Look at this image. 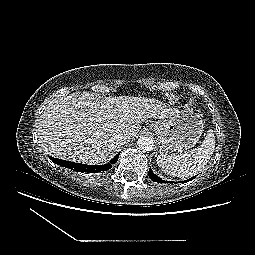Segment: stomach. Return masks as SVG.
<instances>
[{
	"label": "stomach",
	"instance_id": "stomach-1",
	"mask_svg": "<svg viewBox=\"0 0 255 255\" xmlns=\"http://www.w3.org/2000/svg\"><path fill=\"white\" fill-rule=\"evenodd\" d=\"M154 132L164 152H182L194 146L203 133L204 124L199 114L191 110H174L162 121L148 126Z\"/></svg>",
	"mask_w": 255,
	"mask_h": 255
}]
</instances>
